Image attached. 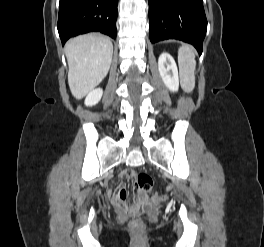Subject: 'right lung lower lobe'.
<instances>
[{"label":"right lung lower lobe","instance_id":"right-lung-lower-lobe-1","mask_svg":"<svg viewBox=\"0 0 264 247\" xmlns=\"http://www.w3.org/2000/svg\"><path fill=\"white\" fill-rule=\"evenodd\" d=\"M118 0H60L57 28L64 45L74 36L101 32L115 39Z\"/></svg>","mask_w":264,"mask_h":247}]
</instances>
